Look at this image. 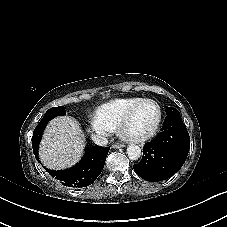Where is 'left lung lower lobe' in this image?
I'll return each instance as SVG.
<instances>
[{"instance_id": "1", "label": "left lung lower lobe", "mask_w": 227, "mask_h": 227, "mask_svg": "<svg viewBox=\"0 0 227 227\" xmlns=\"http://www.w3.org/2000/svg\"><path fill=\"white\" fill-rule=\"evenodd\" d=\"M190 137L180 116H167L161 132L143 147V157L134 171L146 181L158 182L173 176L185 163Z\"/></svg>"}]
</instances>
